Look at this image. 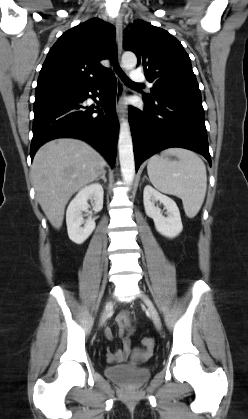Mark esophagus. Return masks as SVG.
<instances>
[{
	"instance_id": "1",
	"label": "esophagus",
	"mask_w": 248,
	"mask_h": 419,
	"mask_svg": "<svg viewBox=\"0 0 248 419\" xmlns=\"http://www.w3.org/2000/svg\"><path fill=\"white\" fill-rule=\"evenodd\" d=\"M115 27H116V49H117V58L120 60L121 53H122V32H123V23H122V15L118 14L115 19ZM124 94H125V88L120 80L119 77H117V92H116V111L119 117L122 116V111L124 108Z\"/></svg>"
}]
</instances>
